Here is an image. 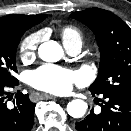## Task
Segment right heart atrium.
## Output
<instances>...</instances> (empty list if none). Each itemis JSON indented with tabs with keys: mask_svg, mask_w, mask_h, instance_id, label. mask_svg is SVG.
<instances>
[{
	"mask_svg": "<svg viewBox=\"0 0 131 131\" xmlns=\"http://www.w3.org/2000/svg\"><path fill=\"white\" fill-rule=\"evenodd\" d=\"M41 39L42 34L40 32L31 33L22 39L19 45V53L23 61L35 57Z\"/></svg>",
	"mask_w": 131,
	"mask_h": 131,
	"instance_id": "d8ad5b80",
	"label": "right heart atrium"
}]
</instances>
